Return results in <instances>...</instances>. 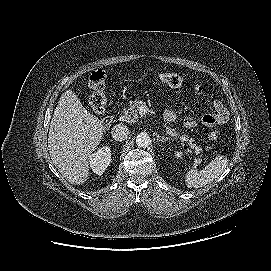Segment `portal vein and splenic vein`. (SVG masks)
<instances>
[{
  "label": "portal vein and splenic vein",
  "mask_w": 271,
  "mask_h": 271,
  "mask_svg": "<svg viewBox=\"0 0 271 271\" xmlns=\"http://www.w3.org/2000/svg\"><path fill=\"white\" fill-rule=\"evenodd\" d=\"M139 112H140L141 114L147 112V107H146V106H142V107L140 108Z\"/></svg>",
  "instance_id": "portal-vein-and-splenic-vein-1"
}]
</instances>
